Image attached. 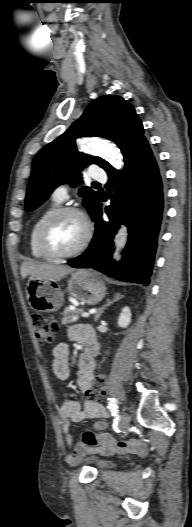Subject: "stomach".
<instances>
[{"label":"stomach","mask_w":192,"mask_h":527,"mask_svg":"<svg viewBox=\"0 0 192 527\" xmlns=\"http://www.w3.org/2000/svg\"><path fill=\"white\" fill-rule=\"evenodd\" d=\"M67 291L72 298L94 305L105 295V285L99 274L90 269L71 273ZM30 306L36 311L54 312L64 303V293L51 281L30 278L26 288Z\"/></svg>","instance_id":"obj_1"}]
</instances>
